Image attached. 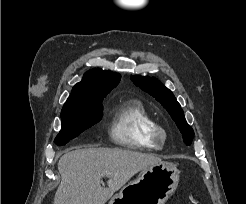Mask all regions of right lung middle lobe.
Segmentation results:
<instances>
[{"instance_id":"obj_1","label":"right lung middle lobe","mask_w":246,"mask_h":204,"mask_svg":"<svg viewBox=\"0 0 246 204\" xmlns=\"http://www.w3.org/2000/svg\"><path fill=\"white\" fill-rule=\"evenodd\" d=\"M104 97H93L82 103L64 105L61 111L62 128L54 142L59 146L65 145L69 140L98 123L103 116Z\"/></svg>"}]
</instances>
